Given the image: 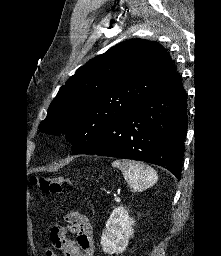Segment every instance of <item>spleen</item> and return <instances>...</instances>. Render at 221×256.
<instances>
[{"instance_id":"1","label":"spleen","mask_w":221,"mask_h":256,"mask_svg":"<svg viewBox=\"0 0 221 256\" xmlns=\"http://www.w3.org/2000/svg\"><path fill=\"white\" fill-rule=\"evenodd\" d=\"M112 166L122 171L126 182L134 192H142L158 180L153 168L137 161L115 160Z\"/></svg>"}]
</instances>
